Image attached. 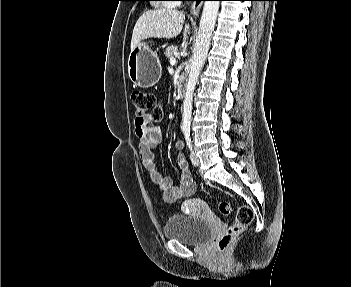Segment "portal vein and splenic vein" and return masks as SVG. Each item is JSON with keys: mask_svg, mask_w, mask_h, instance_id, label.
<instances>
[{"mask_svg": "<svg viewBox=\"0 0 351 287\" xmlns=\"http://www.w3.org/2000/svg\"><path fill=\"white\" fill-rule=\"evenodd\" d=\"M175 63H176V58H172V59L170 60V64L173 66V65H175Z\"/></svg>", "mask_w": 351, "mask_h": 287, "instance_id": "obj_1", "label": "portal vein and splenic vein"}]
</instances>
